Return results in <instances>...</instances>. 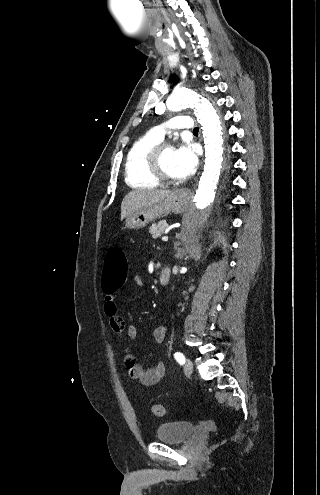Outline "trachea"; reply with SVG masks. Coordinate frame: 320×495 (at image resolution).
<instances>
[{
	"label": "trachea",
	"instance_id": "3493384b",
	"mask_svg": "<svg viewBox=\"0 0 320 495\" xmlns=\"http://www.w3.org/2000/svg\"><path fill=\"white\" fill-rule=\"evenodd\" d=\"M198 131H199L198 127H195V128L193 129V133H198Z\"/></svg>",
	"mask_w": 320,
	"mask_h": 495
}]
</instances>
